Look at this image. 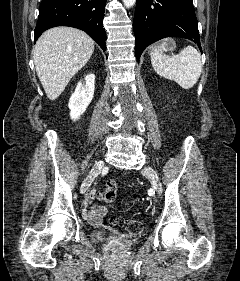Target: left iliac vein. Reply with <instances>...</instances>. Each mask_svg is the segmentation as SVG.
Segmentation results:
<instances>
[{"mask_svg":"<svg viewBox=\"0 0 240 281\" xmlns=\"http://www.w3.org/2000/svg\"><path fill=\"white\" fill-rule=\"evenodd\" d=\"M142 173L151 181L153 188L156 190L158 195L162 194V184L160 179L156 173V171L152 167H145Z\"/></svg>","mask_w":240,"mask_h":281,"instance_id":"obj_1","label":"left iliac vein"}]
</instances>
